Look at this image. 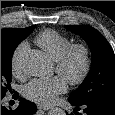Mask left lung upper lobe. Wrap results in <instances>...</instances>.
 Segmentation results:
<instances>
[{
    "label": "left lung upper lobe",
    "instance_id": "5c2ea615",
    "mask_svg": "<svg viewBox=\"0 0 115 115\" xmlns=\"http://www.w3.org/2000/svg\"><path fill=\"white\" fill-rule=\"evenodd\" d=\"M66 28L79 34L88 43L92 53L90 72L69 100L78 105H115V55L110 44L89 25H70Z\"/></svg>",
    "mask_w": 115,
    "mask_h": 115
}]
</instances>
